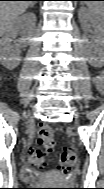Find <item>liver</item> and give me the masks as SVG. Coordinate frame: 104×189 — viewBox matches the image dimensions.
I'll return each instance as SVG.
<instances>
[{
  "label": "liver",
  "mask_w": 104,
  "mask_h": 189,
  "mask_svg": "<svg viewBox=\"0 0 104 189\" xmlns=\"http://www.w3.org/2000/svg\"><path fill=\"white\" fill-rule=\"evenodd\" d=\"M34 2L32 1H1L0 2V33L4 35L13 22Z\"/></svg>",
  "instance_id": "liver-1"
}]
</instances>
